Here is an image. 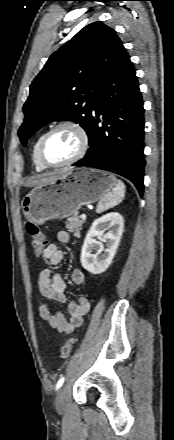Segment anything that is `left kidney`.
<instances>
[{
	"instance_id": "left-kidney-1",
	"label": "left kidney",
	"mask_w": 174,
	"mask_h": 440,
	"mask_svg": "<svg viewBox=\"0 0 174 440\" xmlns=\"http://www.w3.org/2000/svg\"><path fill=\"white\" fill-rule=\"evenodd\" d=\"M124 229V219L120 213L111 212L96 219L88 231L81 251V264L84 269L92 274L103 273L111 264L119 246ZM108 233L104 234V231ZM106 243L104 249L101 242ZM93 250H97L93 254ZM104 252V253H102Z\"/></svg>"
}]
</instances>
